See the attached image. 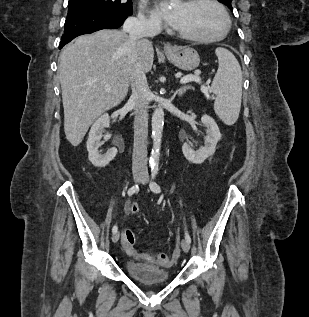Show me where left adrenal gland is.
I'll return each instance as SVG.
<instances>
[{
	"mask_svg": "<svg viewBox=\"0 0 309 317\" xmlns=\"http://www.w3.org/2000/svg\"><path fill=\"white\" fill-rule=\"evenodd\" d=\"M191 88H192L191 86L185 85V86L181 87L180 89H178L176 91V94H178L179 96H182L186 92L187 89H191Z\"/></svg>",
	"mask_w": 309,
	"mask_h": 317,
	"instance_id": "1",
	"label": "left adrenal gland"
}]
</instances>
